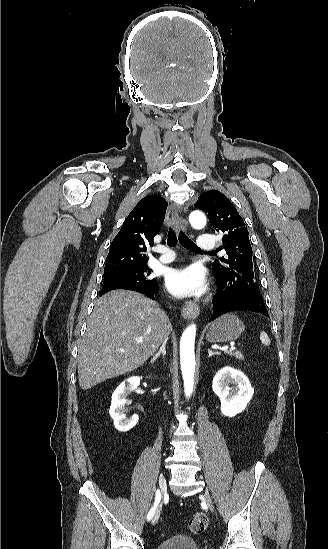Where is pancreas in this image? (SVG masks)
I'll use <instances>...</instances> for the list:
<instances>
[{"instance_id":"pancreas-1","label":"pancreas","mask_w":328,"mask_h":549,"mask_svg":"<svg viewBox=\"0 0 328 549\" xmlns=\"http://www.w3.org/2000/svg\"><path fill=\"white\" fill-rule=\"evenodd\" d=\"M227 355H231V357H235V359H239V361H244V357L240 351H232V353H227Z\"/></svg>"}]
</instances>
